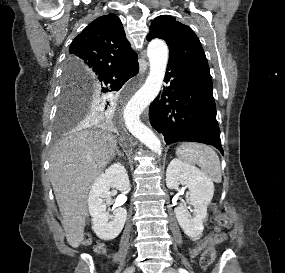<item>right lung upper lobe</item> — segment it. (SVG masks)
I'll list each match as a JSON object with an SVG mask.
<instances>
[{"instance_id":"cb5924a9","label":"right lung upper lobe","mask_w":285,"mask_h":273,"mask_svg":"<svg viewBox=\"0 0 285 273\" xmlns=\"http://www.w3.org/2000/svg\"><path fill=\"white\" fill-rule=\"evenodd\" d=\"M136 59L120 19L109 13L95 19L73 40L66 69L89 82L107 70Z\"/></svg>"}]
</instances>
